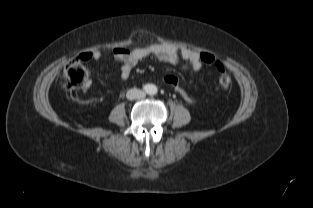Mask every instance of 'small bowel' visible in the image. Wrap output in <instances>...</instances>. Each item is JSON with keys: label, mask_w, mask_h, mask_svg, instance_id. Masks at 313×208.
<instances>
[{"label": "small bowel", "mask_w": 313, "mask_h": 208, "mask_svg": "<svg viewBox=\"0 0 313 208\" xmlns=\"http://www.w3.org/2000/svg\"><path fill=\"white\" fill-rule=\"evenodd\" d=\"M102 57L103 53L98 50L86 52L81 55V58L84 60H100ZM113 57L117 62L121 63L120 76L123 80L128 79L132 69L147 57H154L170 64H176L182 59L187 63V68L193 71H199L203 66V62L200 59V53L187 48L178 49L172 45L159 43L131 50L117 47L113 50ZM88 87L89 84L86 88Z\"/></svg>", "instance_id": "c3829d8e"}]
</instances>
